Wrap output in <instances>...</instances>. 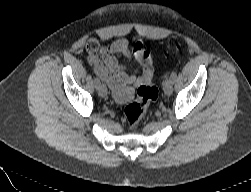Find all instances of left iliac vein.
<instances>
[{
  "mask_svg": "<svg viewBox=\"0 0 251 192\" xmlns=\"http://www.w3.org/2000/svg\"><path fill=\"white\" fill-rule=\"evenodd\" d=\"M173 80L171 78L166 79L163 83V91L166 95H170L173 92Z\"/></svg>",
  "mask_w": 251,
  "mask_h": 192,
  "instance_id": "obj_1",
  "label": "left iliac vein"
}]
</instances>
